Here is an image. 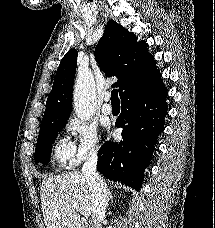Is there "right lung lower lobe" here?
<instances>
[{"mask_svg": "<svg viewBox=\"0 0 215 228\" xmlns=\"http://www.w3.org/2000/svg\"><path fill=\"white\" fill-rule=\"evenodd\" d=\"M168 92L161 75L133 81L121 97L116 127L123 128L120 142H105L99 150L98 171L106 178L135 190L142 187L157 138L164 128Z\"/></svg>", "mask_w": 215, "mask_h": 228, "instance_id": "1", "label": "right lung lower lobe"}]
</instances>
